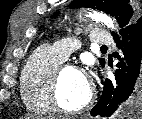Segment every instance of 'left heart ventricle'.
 Wrapping results in <instances>:
<instances>
[{
  "instance_id": "left-heart-ventricle-1",
  "label": "left heart ventricle",
  "mask_w": 142,
  "mask_h": 119,
  "mask_svg": "<svg viewBox=\"0 0 142 119\" xmlns=\"http://www.w3.org/2000/svg\"><path fill=\"white\" fill-rule=\"evenodd\" d=\"M90 88L84 82L82 73L74 69H66L63 73L59 99L66 108H75L82 104L88 97Z\"/></svg>"
}]
</instances>
